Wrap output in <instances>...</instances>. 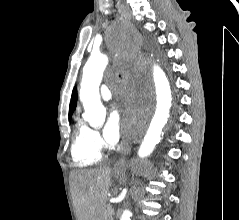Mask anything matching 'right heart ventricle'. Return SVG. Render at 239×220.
Instances as JSON below:
<instances>
[{"label":"right heart ventricle","instance_id":"obj_1","mask_svg":"<svg viewBox=\"0 0 239 220\" xmlns=\"http://www.w3.org/2000/svg\"><path fill=\"white\" fill-rule=\"evenodd\" d=\"M71 157L77 167H89L101 160L100 148L93 140V130L80 117L75 121Z\"/></svg>","mask_w":239,"mask_h":220}]
</instances>
